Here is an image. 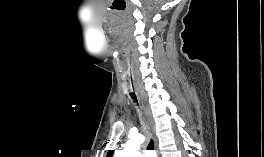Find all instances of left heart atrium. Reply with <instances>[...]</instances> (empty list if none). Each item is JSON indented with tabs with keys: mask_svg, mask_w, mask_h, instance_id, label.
Returning a JSON list of instances; mask_svg holds the SVG:
<instances>
[{
	"mask_svg": "<svg viewBox=\"0 0 264 157\" xmlns=\"http://www.w3.org/2000/svg\"><path fill=\"white\" fill-rule=\"evenodd\" d=\"M149 157H155L154 155H151V156H149Z\"/></svg>",
	"mask_w": 264,
	"mask_h": 157,
	"instance_id": "1",
	"label": "left heart atrium"
}]
</instances>
